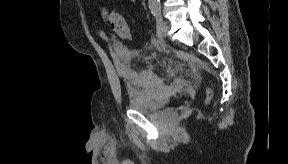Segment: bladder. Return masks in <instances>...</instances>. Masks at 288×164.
I'll return each mask as SVG.
<instances>
[{
    "label": "bladder",
    "instance_id": "obj_1",
    "mask_svg": "<svg viewBox=\"0 0 288 164\" xmlns=\"http://www.w3.org/2000/svg\"><path fill=\"white\" fill-rule=\"evenodd\" d=\"M112 48L120 63L127 65L133 61V53L123 43L112 41ZM159 104V95L151 88L135 91L129 100V108L143 114L153 113Z\"/></svg>",
    "mask_w": 288,
    "mask_h": 164
}]
</instances>
